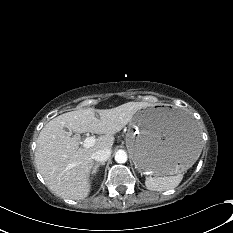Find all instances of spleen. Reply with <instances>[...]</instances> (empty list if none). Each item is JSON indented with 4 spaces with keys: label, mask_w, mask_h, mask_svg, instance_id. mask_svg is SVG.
Listing matches in <instances>:
<instances>
[{
    "label": "spleen",
    "mask_w": 233,
    "mask_h": 233,
    "mask_svg": "<svg viewBox=\"0 0 233 233\" xmlns=\"http://www.w3.org/2000/svg\"><path fill=\"white\" fill-rule=\"evenodd\" d=\"M182 178L183 175L181 173H177L176 175H171V176H163V177H158V176L148 177L145 181V185L149 190L165 191V190L173 189L176 186H178Z\"/></svg>",
    "instance_id": "spleen-1"
}]
</instances>
